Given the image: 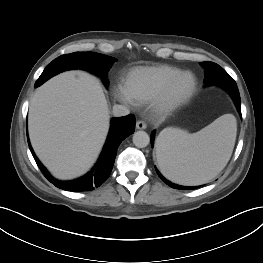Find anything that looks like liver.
Instances as JSON below:
<instances>
[{
    "instance_id": "6515ba94",
    "label": "liver",
    "mask_w": 263,
    "mask_h": 263,
    "mask_svg": "<svg viewBox=\"0 0 263 263\" xmlns=\"http://www.w3.org/2000/svg\"><path fill=\"white\" fill-rule=\"evenodd\" d=\"M109 120L99 80L86 72H64L36 90L29 108V137L53 176L73 179L86 173L97 159Z\"/></svg>"
}]
</instances>
